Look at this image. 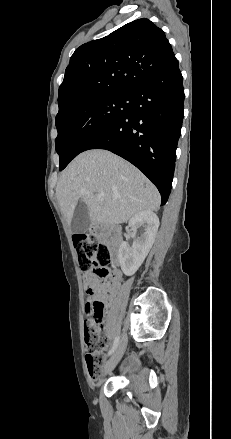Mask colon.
<instances>
[{
    "label": "colon",
    "instance_id": "colon-1",
    "mask_svg": "<svg viewBox=\"0 0 231 439\" xmlns=\"http://www.w3.org/2000/svg\"><path fill=\"white\" fill-rule=\"evenodd\" d=\"M74 247L78 255L80 270L87 274L93 273L99 279L102 290L109 289L112 276L111 253L107 246L102 244L94 234L77 235L74 238ZM89 318L85 324V344L87 349L86 366L91 376L98 375L104 362L102 349L105 339L101 329L100 317L103 304L98 299H89L86 305Z\"/></svg>",
    "mask_w": 231,
    "mask_h": 439
}]
</instances>
